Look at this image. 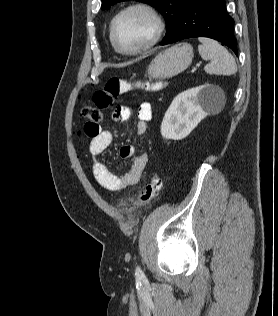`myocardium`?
Returning a JSON list of instances; mask_svg holds the SVG:
<instances>
[{
    "label": "myocardium",
    "instance_id": "f54148a6",
    "mask_svg": "<svg viewBox=\"0 0 278 316\" xmlns=\"http://www.w3.org/2000/svg\"><path fill=\"white\" fill-rule=\"evenodd\" d=\"M135 11L143 12L150 17V19L153 22V33L151 37L142 45L131 50H126V49L121 48L116 41L115 27L120 18H122L124 15L128 13L135 12ZM164 28H165V24L161 15L152 5L146 2H134L123 7L112 18L111 23H110V41L117 52L123 55H129V56L137 55L153 47L160 40L164 32Z\"/></svg>",
    "mask_w": 278,
    "mask_h": 316
}]
</instances>
